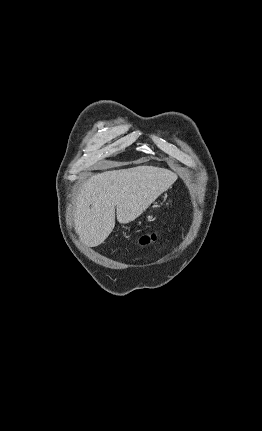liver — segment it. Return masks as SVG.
Wrapping results in <instances>:
<instances>
[{
    "label": "liver",
    "mask_w": 262,
    "mask_h": 431,
    "mask_svg": "<svg viewBox=\"0 0 262 431\" xmlns=\"http://www.w3.org/2000/svg\"><path fill=\"white\" fill-rule=\"evenodd\" d=\"M177 180L172 171L137 166L100 173L89 178L76 199L75 229L90 247L102 244L117 220L127 224L138 218Z\"/></svg>",
    "instance_id": "liver-1"
}]
</instances>
